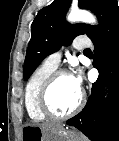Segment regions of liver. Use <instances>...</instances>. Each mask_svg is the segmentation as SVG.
Returning <instances> with one entry per match:
<instances>
[{
  "label": "liver",
  "mask_w": 119,
  "mask_h": 141,
  "mask_svg": "<svg viewBox=\"0 0 119 141\" xmlns=\"http://www.w3.org/2000/svg\"><path fill=\"white\" fill-rule=\"evenodd\" d=\"M33 125H37L43 128H52V129H59L62 128V126L58 125V124H52V123H42V124H33Z\"/></svg>",
  "instance_id": "1"
}]
</instances>
